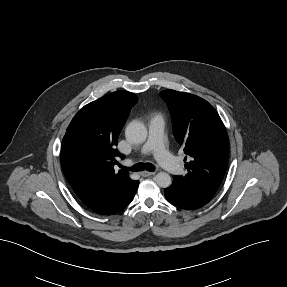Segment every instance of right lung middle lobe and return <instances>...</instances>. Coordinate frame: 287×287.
I'll return each instance as SVG.
<instances>
[{"mask_svg": "<svg viewBox=\"0 0 287 287\" xmlns=\"http://www.w3.org/2000/svg\"><path fill=\"white\" fill-rule=\"evenodd\" d=\"M62 147H65L66 150L71 153V154H77L78 153V147L76 143H74L71 139L65 138L63 139L62 142Z\"/></svg>", "mask_w": 287, "mask_h": 287, "instance_id": "obj_1", "label": "right lung middle lobe"}]
</instances>
